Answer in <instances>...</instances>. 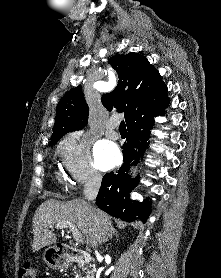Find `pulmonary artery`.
I'll return each mask as SVG.
<instances>
[{"mask_svg": "<svg viewBox=\"0 0 221 278\" xmlns=\"http://www.w3.org/2000/svg\"><path fill=\"white\" fill-rule=\"evenodd\" d=\"M106 134L111 139H118L119 138V132L116 129V122L110 121L107 124V131Z\"/></svg>", "mask_w": 221, "mask_h": 278, "instance_id": "1", "label": "pulmonary artery"}]
</instances>
